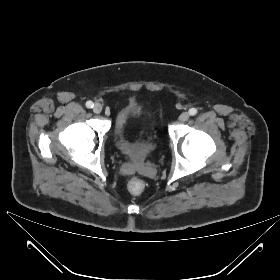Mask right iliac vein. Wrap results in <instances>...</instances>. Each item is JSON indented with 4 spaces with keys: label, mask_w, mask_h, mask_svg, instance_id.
Segmentation results:
<instances>
[{
    "label": "right iliac vein",
    "mask_w": 280,
    "mask_h": 280,
    "mask_svg": "<svg viewBox=\"0 0 280 280\" xmlns=\"http://www.w3.org/2000/svg\"><path fill=\"white\" fill-rule=\"evenodd\" d=\"M93 111H94V113H96V114L101 113V111H102V105H101L100 103H96V104L94 105V107H93Z\"/></svg>",
    "instance_id": "63e3f726"
}]
</instances>
